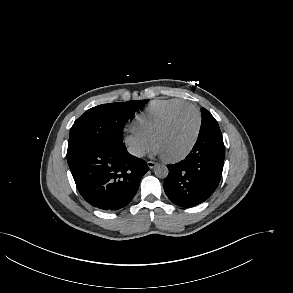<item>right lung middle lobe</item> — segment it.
Here are the masks:
<instances>
[{
    "mask_svg": "<svg viewBox=\"0 0 293 293\" xmlns=\"http://www.w3.org/2000/svg\"><path fill=\"white\" fill-rule=\"evenodd\" d=\"M149 100L102 104L86 111L70 129L67 159L100 144L123 142V128Z\"/></svg>",
    "mask_w": 293,
    "mask_h": 293,
    "instance_id": "dd1d6c3e",
    "label": "right lung middle lobe"
}]
</instances>
